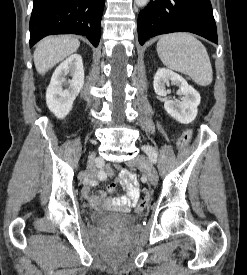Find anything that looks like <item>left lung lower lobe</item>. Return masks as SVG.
Wrapping results in <instances>:
<instances>
[{
    "instance_id": "1",
    "label": "left lung lower lobe",
    "mask_w": 247,
    "mask_h": 275,
    "mask_svg": "<svg viewBox=\"0 0 247 275\" xmlns=\"http://www.w3.org/2000/svg\"><path fill=\"white\" fill-rule=\"evenodd\" d=\"M179 31L195 33L217 43L210 0H151L139 13L141 45L150 37Z\"/></svg>"
}]
</instances>
